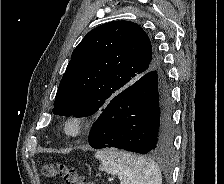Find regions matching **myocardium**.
<instances>
[{
    "label": "myocardium",
    "mask_w": 224,
    "mask_h": 184,
    "mask_svg": "<svg viewBox=\"0 0 224 184\" xmlns=\"http://www.w3.org/2000/svg\"><path fill=\"white\" fill-rule=\"evenodd\" d=\"M87 130V122L83 116H70L63 127L64 134L67 138L76 140L81 138Z\"/></svg>",
    "instance_id": "f54148a6"
}]
</instances>
